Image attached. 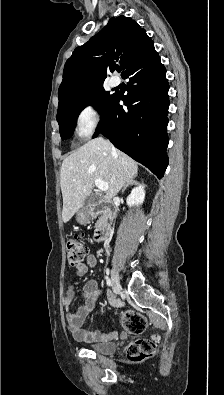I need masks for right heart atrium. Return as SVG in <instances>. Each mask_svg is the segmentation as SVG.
Listing matches in <instances>:
<instances>
[{
	"instance_id": "1",
	"label": "right heart atrium",
	"mask_w": 224,
	"mask_h": 395,
	"mask_svg": "<svg viewBox=\"0 0 224 395\" xmlns=\"http://www.w3.org/2000/svg\"><path fill=\"white\" fill-rule=\"evenodd\" d=\"M100 122L101 111L99 106L93 102L85 103L76 114V133L82 138H87L93 134Z\"/></svg>"
}]
</instances>
